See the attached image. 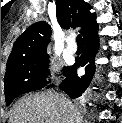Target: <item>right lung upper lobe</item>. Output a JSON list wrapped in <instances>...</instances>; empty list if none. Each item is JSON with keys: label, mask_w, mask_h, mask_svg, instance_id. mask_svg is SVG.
I'll use <instances>...</instances> for the list:
<instances>
[{"label": "right lung upper lobe", "mask_w": 122, "mask_h": 123, "mask_svg": "<svg viewBox=\"0 0 122 123\" xmlns=\"http://www.w3.org/2000/svg\"><path fill=\"white\" fill-rule=\"evenodd\" d=\"M90 4L84 0H57V20L62 28L81 27L84 39L98 29L96 14L91 13ZM51 27L40 21L28 27L16 40L7 61V68L15 66L27 59L47 54L50 42Z\"/></svg>", "instance_id": "1"}]
</instances>
